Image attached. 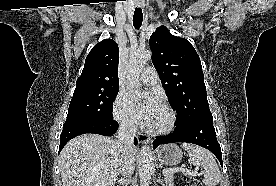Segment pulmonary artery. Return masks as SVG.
Listing matches in <instances>:
<instances>
[{"label": "pulmonary artery", "instance_id": "pulmonary-artery-1", "mask_svg": "<svg viewBox=\"0 0 276 186\" xmlns=\"http://www.w3.org/2000/svg\"><path fill=\"white\" fill-rule=\"evenodd\" d=\"M139 78L146 85H155L158 81V74L154 68L147 67L141 72Z\"/></svg>", "mask_w": 276, "mask_h": 186}]
</instances>
